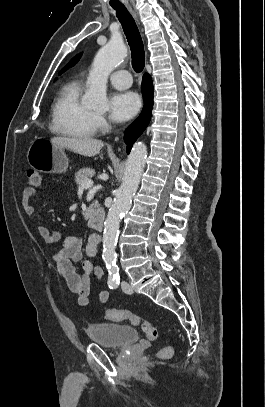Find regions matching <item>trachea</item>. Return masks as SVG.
Returning <instances> with one entry per match:
<instances>
[{
	"instance_id": "trachea-1",
	"label": "trachea",
	"mask_w": 265,
	"mask_h": 407,
	"mask_svg": "<svg viewBox=\"0 0 265 407\" xmlns=\"http://www.w3.org/2000/svg\"><path fill=\"white\" fill-rule=\"evenodd\" d=\"M113 8L116 10V16L122 24L130 46L133 68L139 73L143 70L145 65V51L138 27L125 6H116Z\"/></svg>"
}]
</instances>
